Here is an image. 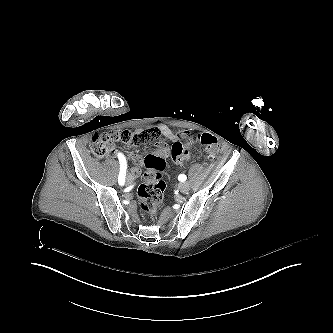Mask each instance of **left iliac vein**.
Listing matches in <instances>:
<instances>
[{
  "instance_id": "left-iliac-vein-1",
  "label": "left iliac vein",
  "mask_w": 333,
  "mask_h": 333,
  "mask_svg": "<svg viewBox=\"0 0 333 333\" xmlns=\"http://www.w3.org/2000/svg\"><path fill=\"white\" fill-rule=\"evenodd\" d=\"M178 189L181 193H187L190 189V186L187 182H182L178 185Z\"/></svg>"
}]
</instances>
